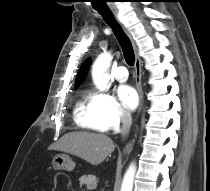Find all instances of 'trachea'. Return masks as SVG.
Masks as SVG:
<instances>
[{
    "label": "trachea",
    "mask_w": 210,
    "mask_h": 191,
    "mask_svg": "<svg viewBox=\"0 0 210 191\" xmlns=\"http://www.w3.org/2000/svg\"><path fill=\"white\" fill-rule=\"evenodd\" d=\"M103 17L104 21L112 28L124 54L128 65L133 66L135 62L134 50L129 37L123 31L122 27L116 21L113 13L108 8H96Z\"/></svg>",
    "instance_id": "1"
}]
</instances>
